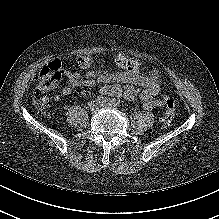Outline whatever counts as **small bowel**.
<instances>
[{
	"label": "small bowel",
	"mask_w": 219,
	"mask_h": 219,
	"mask_svg": "<svg viewBox=\"0 0 219 219\" xmlns=\"http://www.w3.org/2000/svg\"><path fill=\"white\" fill-rule=\"evenodd\" d=\"M90 61L88 57L78 59L79 70L68 74L67 84L55 97L56 100L67 97L74 88L102 84L104 87L100 92L104 96L118 95L128 101L139 99L146 110L164 105L161 99L156 98L162 86L158 74L152 69L147 74L140 73L138 60L124 54H117L115 62L121 70L84 72L89 67Z\"/></svg>",
	"instance_id": "1"
}]
</instances>
